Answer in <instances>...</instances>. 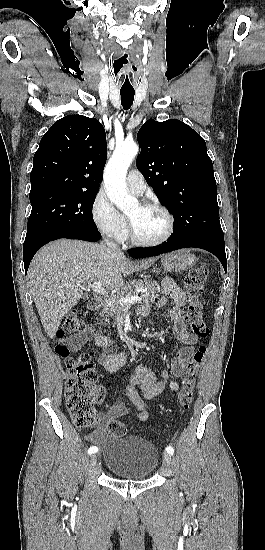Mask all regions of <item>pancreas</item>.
Listing matches in <instances>:
<instances>
[{
  "instance_id": "obj_1",
  "label": "pancreas",
  "mask_w": 265,
  "mask_h": 550,
  "mask_svg": "<svg viewBox=\"0 0 265 550\" xmlns=\"http://www.w3.org/2000/svg\"><path fill=\"white\" fill-rule=\"evenodd\" d=\"M136 289H145L146 293L138 294ZM160 287L156 281L151 280H134L125 286L121 293H118L108 299L100 312V316L104 317L106 322L108 319L116 318L122 311L123 307L118 304V299L121 297L137 296L139 295L145 303H153L158 297Z\"/></svg>"
}]
</instances>
